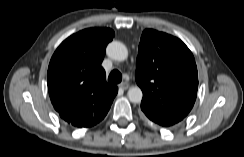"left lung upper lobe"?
Returning a JSON list of instances; mask_svg holds the SVG:
<instances>
[{
  "label": "left lung upper lobe",
  "instance_id": "1",
  "mask_svg": "<svg viewBox=\"0 0 244 157\" xmlns=\"http://www.w3.org/2000/svg\"><path fill=\"white\" fill-rule=\"evenodd\" d=\"M135 78L143 92L141 110L160 126L180 122L195 103L198 72L194 56L172 35L153 29L143 31Z\"/></svg>",
  "mask_w": 244,
  "mask_h": 157
}]
</instances>
